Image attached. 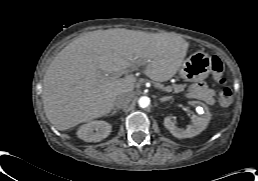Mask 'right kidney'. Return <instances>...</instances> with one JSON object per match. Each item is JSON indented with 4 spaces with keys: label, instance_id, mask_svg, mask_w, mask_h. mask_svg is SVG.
<instances>
[{
    "label": "right kidney",
    "instance_id": "ca27d5eb",
    "mask_svg": "<svg viewBox=\"0 0 258 181\" xmlns=\"http://www.w3.org/2000/svg\"><path fill=\"white\" fill-rule=\"evenodd\" d=\"M111 125L105 121H90L81 125L77 131V137L86 142H99L109 136Z\"/></svg>",
    "mask_w": 258,
    "mask_h": 181
}]
</instances>
